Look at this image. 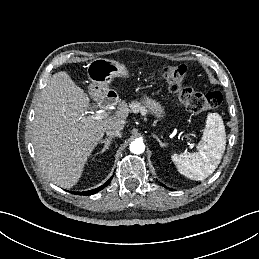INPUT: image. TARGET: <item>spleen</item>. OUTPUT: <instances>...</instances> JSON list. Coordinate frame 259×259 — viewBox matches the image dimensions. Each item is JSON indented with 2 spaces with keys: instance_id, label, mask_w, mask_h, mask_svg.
Listing matches in <instances>:
<instances>
[{
  "instance_id": "obj_1",
  "label": "spleen",
  "mask_w": 259,
  "mask_h": 259,
  "mask_svg": "<svg viewBox=\"0 0 259 259\" xmlns=\"http://www.w3.org/2000/svg\"><path fill=\"white\" fill-rule=\"evenodd\" d=\"M226 146L225 126L218 113H209L203 136L194 153L174 154L172 161L180 174L202 181L220 164Z\"/></svg>"
}]
</instances>
